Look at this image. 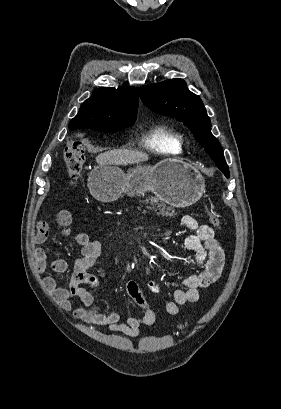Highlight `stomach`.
<instances>
[{
	"mask_svg": "<svg viewBox=\"0 0 281 409\" xmlns=\"http://www.w3.org/2000/svg\"><path fill=\"white\" fill-rule=\"evenodd\" d=\"M88 188L100 202H112L120 196L154 192L171 207H190L205 192V180L199 170L185 160L165 158L157 164H137L123 172L115 164L94 166L88 176Z\"/></svg>",
	"mask_w": 281,
	"mask_h": 409,
	"instance_id": "obj_1",
	"label": "stomach"
}]
</instances>
